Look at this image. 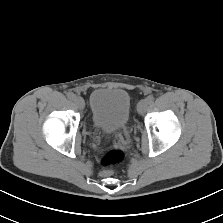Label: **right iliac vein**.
I'll return each instance as SVG.
<instances>
[{
	"label": "right iliac vein",
	"mask_w": 223,
	"mask_h": 223,
	"mask_svg": "<svg viewBox=\"0 0 223 223\" xmlns=\"http://www.w3.org/2000/svg\"><path fill=\"white\" fill-rule=\"evenodd\" d=\"M74 103L78 108H80V109L84 108V100L82 97H80V96L75 97Z\"/></svg>",
	"instance_id": "63e3f726"
}]
</instances>
